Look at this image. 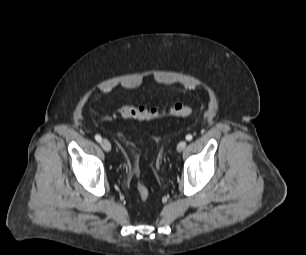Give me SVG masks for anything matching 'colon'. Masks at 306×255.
<instances>
[{"label":"colon","instance_id":"1","mask_svg":"<svg viewBox=\"0 0 306 255\" xmlns=\"http://www.w3.org/2000/svg\"><path fill=\"white\" fill-rule=\"evenodd\" d=\"M192 113V109L189 105L184 103H174L166 109H158L154 107L135 106L130 103H124L120 105L116 110L115 114L123 118H131L141 121H150L156 119H162L165 117H187ZM119 136L127 141L128 143L135 144L125 134L119 133ZM142 170L138 166L137 168V182L136 189L139 198L142 202H146L149 198V189L141 181Z\"/></svg>","mask_w":306,"mask_h":255}]
</instances>
